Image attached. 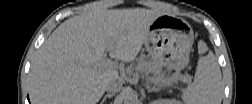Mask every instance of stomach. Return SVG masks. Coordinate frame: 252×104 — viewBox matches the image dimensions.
Segmentation results:
<instances>
[{
	"label": "stomach",
	"instance_id": "0dacf381",
	"mask_svg": "<svg viewBox=\"0 0 252 104\" xmlns=\"http://www.w3.org/2000/svg\"><path fill=\"white\" fill-rule=\"evenodd\" d=\"M194 33L186 21L160 15L149 27L144 44L151 59L169 70H181L189 61Z\"/></svg>",
	"mask_w": 252,
	"mask_h": 104
}]
</instances>
